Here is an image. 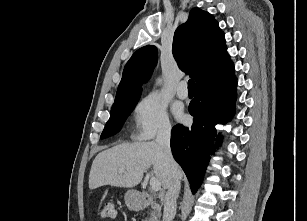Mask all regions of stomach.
Segmentation results:
<instances>
[{"label":"stomach","instance_id":"stomach-1","mask_svg":"<svg viewBox=\"0 0 307 221\" xmlns=\"http://www.w3.org/2000/svg\"><path fill=\"white\" fill-rule=\"evenodd\" d=\"M125 202L129 208H136L139 206V200L135 190H128L125 194Z\"/></svg>","mask_w":307,"mask_h":221}]
</instances>
